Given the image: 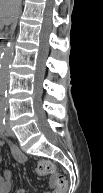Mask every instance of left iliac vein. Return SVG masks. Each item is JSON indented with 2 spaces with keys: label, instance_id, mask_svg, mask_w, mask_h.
I'll use <instances>...</instances> for the list:
<instances>
[{
  "label": "left iliac vein",
  "instance_id": "left-iliac-vein-1",
  "mask_svg": "<svg viewBox=\"0 0 103 193\" xmlns=\"http://www.w3.org/2000/svg\"><path fill=\"white\" fill-rule=\"evenodd\" d=\"M6 132L10 135V136H14V132L12 131L11 127H10V123L9 120L7 119L6 122Z\"/></svg>",
  "mask_w": 103,
  "mask_h": 193
}]
</instances>
